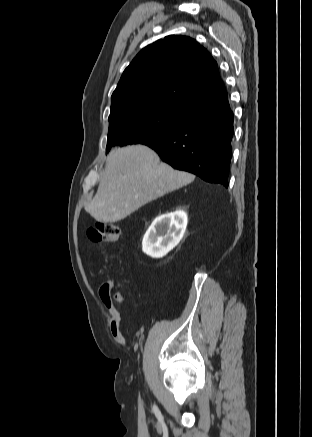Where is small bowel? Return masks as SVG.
<instances>
[{"label":"small bowel","mask_w":312,"mask_h":437,"mask_svg":"<svg viewBox=\"0 0 312 437\" xmlns=\"http://www.w3.org/2000/svg\"><path fill=\"white\" fill-rule=\"evenodd\" d=\"M88 273L92 279L97 280L98 276L93 270L88 269ZM110 286H111L110 282H104L100 284L99 295L101 297L104 307L106 308V310L110 315L109 330L112 337L117 343L125 345L126 339L123 336L120 328V322H121L120 312L116 307L113 299L109 295ZM117 299L122 300V297L118 296Z\"/></svg>","instance_id":"1"}]
</instances>
